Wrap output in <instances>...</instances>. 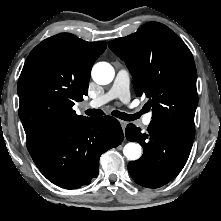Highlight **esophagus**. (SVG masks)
Listing matches in <instances>:
<instances>
[{
    "label": "esophagus",
    "mask_w": 221,
    "mask_h": 221,
    "mask_svg": "<svg viewBox=\"0 0 221 221\" xmlns=\"http://www.w3.org/2000/svg\"><path fill=\"white\" fill-rule=\"evenodd\" d=\"M120 124H121L123 130H125L126 125H127V122H126V121H123V120H120Z\"/></svg>",
    "instance_id": "34e87169"
}]
</instances>
